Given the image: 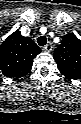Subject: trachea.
Masks as SVG:
<instances>
[{
  "label": "trachea",
  "instance_id": "trachea-1",
  "mask_svg": "<svg viewBox=\"0 0 81 124\" xmlns=\"http://www.w3.org/2000/svg\"><path fill=\"white\" fill-rule=\"evenodd\" d=\"M37 43L38 45L40 46H44L46 43H47V38L45 36H40L38 39H37Z\"/></svg>",
  "mask_w": 81,
  "mask_h": 124
}]
</instances>
